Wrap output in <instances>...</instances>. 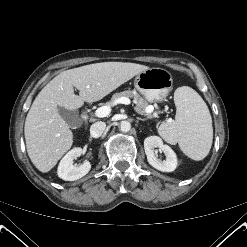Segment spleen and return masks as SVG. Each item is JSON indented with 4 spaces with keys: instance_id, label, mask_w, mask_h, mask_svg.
Wrapping results in <instances>:
<instances>
[{
    "instance_id": "3e777b00",
    "label": "spleen",
    "mask_w": 247,
    "mask_h": 247,
    "mask_svg": "<svg viewBox=\"0 0 247 247\" xmlns=\"http://www.w3.org/2000/svg\"><path fill=\"white\" fill-rule=\"evenodd\" d=\"M176 116L163 122L159 133L170 144L179 145L189 158L204 159L212 146L213 127L209 109L202 97L191 87L182 86L174 93Z\"/></svg>"
}]
</instances>
